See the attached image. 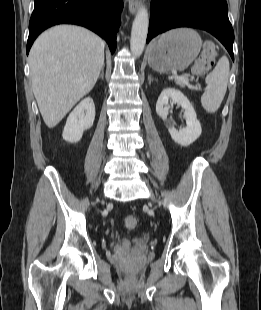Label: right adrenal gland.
Segmentation results:
<instances>
[{
  "label": "right adrenal gland",
  "instance_id": "1",
  "mask_svg": "<svg viewBox=\"0 0 261 310\" xmlns=\"http://www.w3.org/2000/svg\"><path fill=\"white\" fill-rule=\"evenodd\" d=\"M101 79H103L104 78V65H103V67H102V69H101V73H100V76H99Z\"/></svg>",
  "mask_w": 261,
  "mask_h": 310
}]
</instances>
